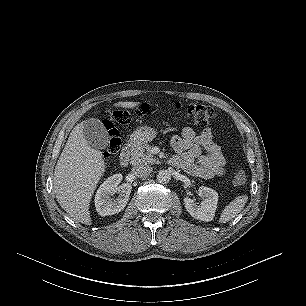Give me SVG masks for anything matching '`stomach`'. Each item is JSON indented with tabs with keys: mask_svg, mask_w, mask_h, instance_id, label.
Returning a JSON list of instances; mask_svg holds the SVG:
<instances>
[{
	"mask_svg": "<svg viewBox=\"0 0 306 306\" xmlns=\"http://www.w3.org/2000/svg\"><path fill=\"white\" fill-rule=\"evenodd\" d=\"M156 130L149 126H142L136 129L130 136V140L135 144H144L152 141L156 137Z\"/></svg>",
	"mask_w": 306,
	"mask_h": 306,
	"instance_id": "stomach-1",
	"label": "stomach"
}]
</instances>
